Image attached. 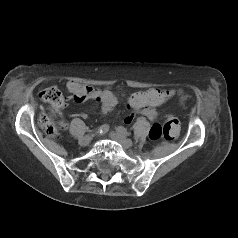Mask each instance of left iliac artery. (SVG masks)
Segmentation results:
<instances>
[{
    "mask_svg": "<svg viewBox=\"0 0 238 238\" xmlns=\"http://www.w3.org/2000/svg\"><path fill=\"white\" fill-rule=\"evenodd\" d=\"M117 131H118L120 134H122L123 136H129V133L127 132V130H126L124 127H122V126H119V127L117 128Z\"/></svg>",
    "mask_w": 238,
    "mask_h": 238,
    "instance_id": "44dca946",
    "label": "left iliac artery"
}]
</instances>
